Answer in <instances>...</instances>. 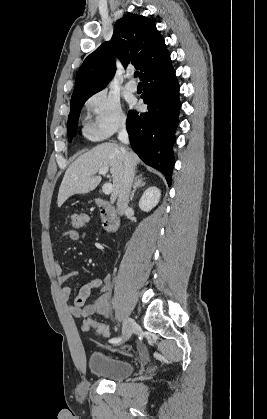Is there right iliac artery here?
<instances>
[{
  "label": "right iliac artery",
  "mask_w": 267,
  "mask_h": 419,
  "mask_svg": "<svg viewBox=\"0 0 267 419\" xmlns=\"http://www.w3.org/2000/svg\"><path fill=\"white\" fill-rule=\"evenodd\" d=\"M121 341V338H112L109 340L110 343H118Z\"/></svg>",
  "instance_id": "82829eb1"
}]
</instances>
